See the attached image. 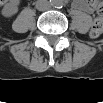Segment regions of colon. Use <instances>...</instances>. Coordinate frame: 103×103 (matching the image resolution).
Wrapping results in <instances>:
<instances>
[{
    "instance_id": "colon-1",
    "label": "colon",
    "mask_w": 103,
    "mask_h": 103,
    "mask_svg": "<svg viewBox=\"0 0 103 103\" xmlns=\"http://www.w3.org/2000/svg\"><path fill=\"white\" fill-rule=\"evenodd\" d=\"M92 9L96 10L98 13V17L94 20L91 30H90V37L91 38H98L102 31H103V20H102V12H103V4L100 1H91Z\"/></svg>"
}]
</instances>
